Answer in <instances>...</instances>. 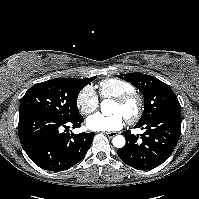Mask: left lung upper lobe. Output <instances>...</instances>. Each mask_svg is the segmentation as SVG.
I'll use <instances>...</instances> for the list:
<instances>
[{"label": "left lung upper lobe", "instance_id": "obj_1", "mask_svg": "<svg viewBox=\"0 0 199 199\" xmlns=\"http://www.w3.org/2000/svg\"><path fill=\"white\" fill-rule=\"evenodd\" d=\"M117 77L132 83L143 93L145 109L138 123H143L164 111L180 108L178 98L172 89L153 76L129 73Z\"/></svg>", "mask_w": 199, "mask_h": 199}]
</instances>
